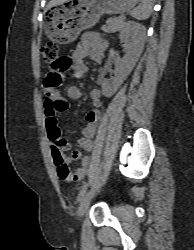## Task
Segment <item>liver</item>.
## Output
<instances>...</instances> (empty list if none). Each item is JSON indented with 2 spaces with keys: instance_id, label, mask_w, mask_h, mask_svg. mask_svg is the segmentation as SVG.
Here are the masks:
<instances>
[{
  "instance_id": "6515ba94",
  "label": "liver",
  "mask_w": 194,
  "mask_h": 250,
  "mask_svg": "<svg viewBox=\"0 0 194 250\" xmlns=\"http://www.w3.org/2000/svg\"><path fill=\"white\" fill-rule=\"evenodd\" d=\"M69 1H71V0H51L47 5V9L51 8L54 5L62 4L65 2H69Z\"/></svg>"
}]
</instances>
